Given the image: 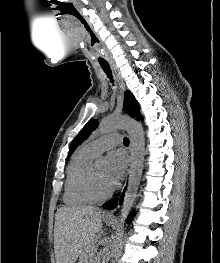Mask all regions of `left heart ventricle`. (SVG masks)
I'll list each match as a JSON object with an SVG mask.
<instances>
[{
  "label": "left heart ventricle",
  "instance_id": "1",
  "mask_svg": "<svg viewBox=\"0 0 220 263\" xmlns=\"http://www.w3.org/2000/svg\"><path fill=\"white\" fill-rule=\"evenodd\" d=\"M105 167L104 163L94 164L95 182L98 190L101 192H105L113 186L106 177Z\"/></svg>",
  "mask_w": 220,
  "mask_h": 263
}]
</instances>
